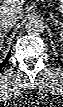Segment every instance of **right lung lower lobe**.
Listing matches in <instances>:
<instances>
[{
  "label": "right lung lower lobe",
  "instance_id": "right-lung-lower-lobe-1",
  "mask_svg": "<svg viewBox=\"0 0 63 107\" xmlns=\"http://www.w3.org/2000/svg\"><path fill=\"white\" fill-rule=\"evenodd\" d=\"M9 57H10V52H9L8 56L6 57V59L2 63H0V70L8 62Z\"/></svg>",
  "mask_w": 63,
  "mask_h": 107
}]
</instances>
